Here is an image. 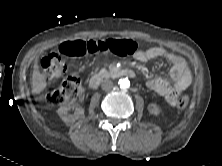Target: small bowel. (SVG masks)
<instances>
[{"instance_id": "obj_1", "label": "small bowel", "mask_w": 222, "mask_h": 166, "mask_svg": "<svg viewBox=\"0 0 222 166\" xmlns=\"http://www.w3.org/2000/svg\"><path fill=\"white\" fill-rule=\"evenodd\" d=\"M134 57L141 62L164 58L171 65L170 77L173 80V85L163 78L155 77L148 80L147 86L150 90L163 97L169 105L175 106L180 92L187 89L192 81V76L185 60L162 47H151L137 51Z\"/></svg>"}]
</instances>
